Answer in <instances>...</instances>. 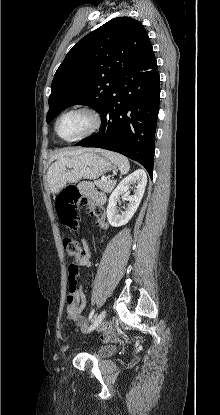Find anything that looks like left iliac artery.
Instances as JSON below:
<instances>
[{"label": "left iliac artery", "instance_id": "44dca946", "mask_svg": "<svg viewBox=\"0 0 220 415\" xmlns=\"http://www.w3.org/2000/svg\"><path fill=\"white\" fill-rule=\"evenodd\" d=\"M94 312H95V310H94V309H92V311L90 312L89 317H88V320H89V321H90V320L92 319V317L94 316ZM105 315H106V311L104 310V311H102V312L99 314V321H101V320H102V318H103Z\"/></svg>", "mask_w": 220, "mask_h": 415}]
</instances>
